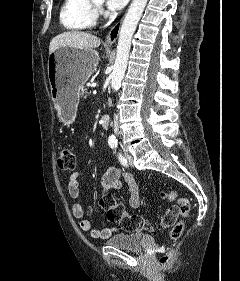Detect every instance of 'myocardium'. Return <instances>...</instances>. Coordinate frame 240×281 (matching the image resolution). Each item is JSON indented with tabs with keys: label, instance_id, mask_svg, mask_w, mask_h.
<instances>
[{
	"label": "myocardium",
	"instance_id": "myocardium-1",
	"mask_svg": "<svg viewBox=\"0 0 240 281\" xmlns=\"http://www.w3.org/2000/svg\"><path fill=\"white\" fill-rule=\"evenodd\" d=\"M89 1L92 5L94 13L96 14V16H98L99 10H100V7H101V3H98L97 0H89Z\"/></svg>",
	"mask_w": 240,
	"mask_h": 281
}]
</instances>
